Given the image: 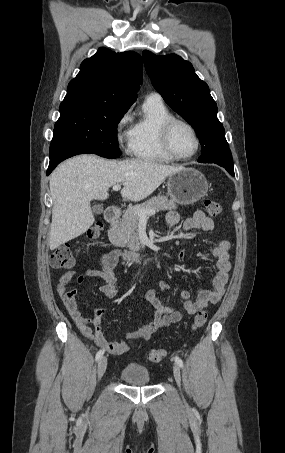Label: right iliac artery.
<instances>
[{"label":"right iliac artery","mask_w":285,"mask_h":453,"mask_svg":"<svg viewBox=\"0 0 285 453\" xmlns=\"http://www.w3.org/2000/svg\"><path fill=\"white\" fill-rule=\"evenodd\" d=\"M104 354V350H99L96 354V361H98Z\"/></svg>","instance_id":"1"}]
</instances>
